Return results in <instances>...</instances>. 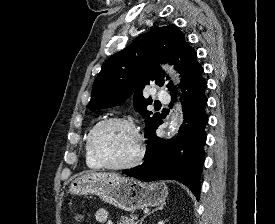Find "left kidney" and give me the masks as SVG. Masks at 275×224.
<instances>
[{
  "label": "left kidney",
  "mask_w": 275,
  "mask_h": 224,
  "mask_svg": "<svg viewBox=\"0 0 275 224\" xmlns=\"http://www.w3.org/2000/svg\"><path fill=\"white\" fill-rule=\"evenodd\" d=\"M158 224H164L163 221H160Z\"/></svg>",
  "instance_id": "1"
}]
</instances>
